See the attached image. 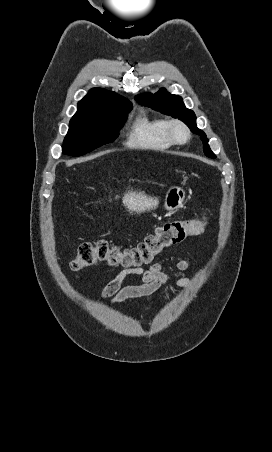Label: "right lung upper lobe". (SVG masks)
I'll use <instances>...</instances> for the list:
<instances>
[{
    "mask_svg": "<svg viewBox=\"0 0 272 452\" xmlns=\"http://www.w3.org/2000/svg\"><path fill=\"white\" fill-rule=\"evenodd\" d=\"M123 104L131 103L115 92H110L102 88H93L89 91L88 95L78 103V110L71 121L90 118L105 110Z\"/></svg>",
    "mask_w": 272,
    "mask_h": 452,
    "instance_id": "right-lung-upper-lobe-1",
    "label": "right lung upper lobe"
}]
</instances>
